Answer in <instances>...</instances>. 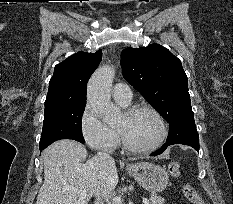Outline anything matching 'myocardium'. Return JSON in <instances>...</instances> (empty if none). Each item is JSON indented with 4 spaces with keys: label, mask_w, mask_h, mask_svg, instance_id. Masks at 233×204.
<instances>
[{
    "label": "myocardium",
    "mask_w": 233,
    "mask_h": 204,
    "mask_svg": "<svg viewBox=\"0 0 233 204\" xmlns=\"http://www.w3.org/2000/svg\"><path fill=\"white\" fill-rule=\"evenodd\" d=\"M140 111L150 112L159 123L160 136L153 145L148 146V147L135 146L134 144L130 142L123 128L116 126V130L120 137L121 143L126 150L133 152V153H140V154L150 153V152L157 150L166 141L167 136H168V128H167V124H166L164 117L161 115V113L158 110H156L152 106H149L146 104L132 105V106L125 108L123 113L126 117H131Z\"/></svg>",
    "instance_id": "1"
}]
</instances>
